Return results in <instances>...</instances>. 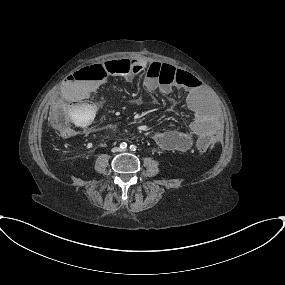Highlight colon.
Returning <instances> with one entry per match:
<instances>
[{
  "instance_id": "colon-1",
  "label": "colon",
  "mask_w": 285,
  "mask_h": 285,
  "mask_svg": "<svg viewBox=\"0 0 285 285\" xmlns=\"http://www.w3.org/2000/svg\"><path fill=\"white\" fill-rule=\"evenodd\" d=\"M137 65L131 60L121 59L103 62L87 68H84L77 75L80 80H93L102 79L108 75L121 76L125 78L132 77L138 71ZM148 74L155 78L159 83L170 88L176 85L184 83L183 73L174 67H165L161 64H154L148 71ZM69 108L63 104H55L48 118V127L55 129L60 134L70 133L73 130V126L70 120ZM72 115L78 117L79 125L87 127L92 122L91 114L87 118H81L76 112H72ZM215 145V138L206 134L201 138V150L206 151L211 149Z\"/></svg>"
}]
</instances>
